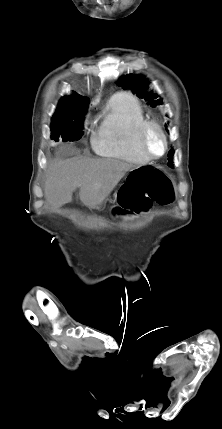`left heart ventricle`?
<instances>
[{"label": "left heart ventricle", "mask_w": 222, "mask_h": 429, "mask_svg": "<svg viewBox=\"0 0 222 429\" xmlns=\"http://www.w3.org/2000/svg\"><path fill=\"white\" fill-rule=\"evenodd\" d=\"M147 146L155 155H161L164 150V142L161 135L154 129L150 130L147 135Z\"/></svg>", "instance_id": "obj_1"}]
</instances>
